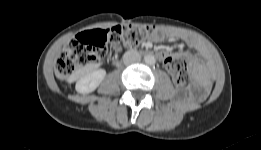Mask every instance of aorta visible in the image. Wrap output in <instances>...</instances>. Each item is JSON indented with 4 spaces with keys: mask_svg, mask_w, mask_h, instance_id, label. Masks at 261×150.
Wrapping results in <instances>:
<instances>
[{
    "mask_svg": "<svg viewBox=\"0 0 261 150\" xmlns=\"http://www.w3.org/2000/svg\"><path fill=\"white\" fill-rule=\"evenodd\" d=\"M144 62L148 65H154L156 63V59L153 55H146L144 57Z\"/></svg>",
    "mask_w": 261,
    "mask_h": 150,
    "instance_id": "1",
    "label": "aorta"
}]
</instances>
